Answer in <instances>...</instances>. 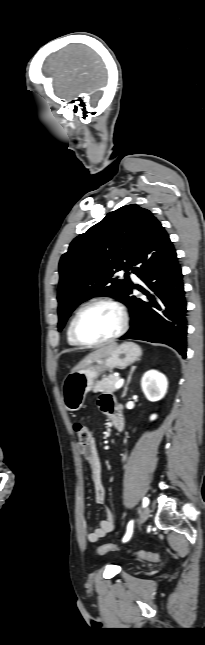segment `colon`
Wrapping results in <instances>:
<instances>
[{
    "label": "colon",
    "mask_w": 205,
    "mask_h": 645,
    "mask_svg": "<svg viewBox=\"0 0 205 645\" xmlns=\"http://www.w3.org/2000/svg\"><path fill=\"white\" fill-rule=\"evenodd\" d=\"M73 429L78 437V440L81 444L87 445L90 440H91V431L88 426L83 424L82 422H75L73 425ZM119 548L111 543L101 545L97 548V553L100 555L106 554L107 552L111 551H118ZM137 557H140L145 560L149 561H158L160 559L159 555L156 553H151V552H146V551H138L135 553Z\"/></svg>",
    "instance_id": "1"
}]
</instances>
